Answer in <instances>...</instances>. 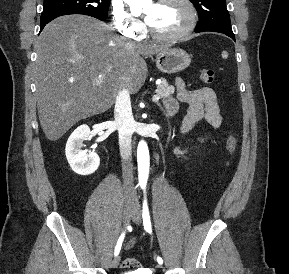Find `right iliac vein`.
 <instances>
[{"label":"right iliac vein","instance_id":"63e3f726","mask_svg":"<svg viewBox=\"0 0 289 274\" xmlns=\"http://www.w3.org/2000/svg\"><path fill=\"white\" fill-rule=\"evenodd\" d=\"M133 215V206L130 201H126L123 209V225L126 227ZM120 258L119 256H116L111 262H110V268H116L119 264Z\"/></svg>","mask_w":289,"mask_h":274}]
</instances>
